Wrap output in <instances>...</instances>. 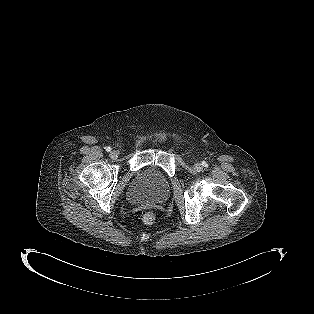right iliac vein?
<instances>
[{"label": "right iliac vein", "mask_w": 314, "mask_h": 314, "mask_svg": "<svg viewBox=\"0 0 314 314\" xmlns=\"http://www.w3.org/2000/svg\"><path fill=\"white\" fill-rule=\"evenodd\" d=\"M110 157L112 158V159H116L117 157H118V153H117V151H111L110 152Z\"/></svg>", "instance_id": "right-iliac-vein-1"}]
</instances>
